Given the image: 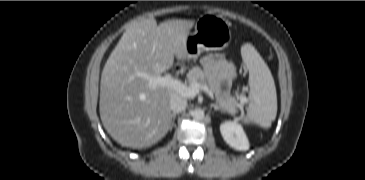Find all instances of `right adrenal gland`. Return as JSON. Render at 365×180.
Here are the masks:
<instances>
[{
  "mask_svg": "<svg viewBox=\"0 0 365 180\" xmlns=\"http://www.w3.org/2000/svg\"><path fill=\"white\" fill-rule=\"evenodd\" d=\"M176 116H177V113L172 114V123H171V126H170V130H172V127L175 125L174 122H175Z\"/></svg>",
  "mask_w": 365,
  "mask_h": 180,
  "instance_id": "2a0ac1e0",
  "label": "right adrenal gland"
}]
</instances>
